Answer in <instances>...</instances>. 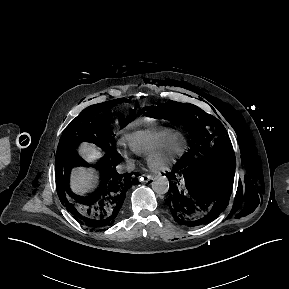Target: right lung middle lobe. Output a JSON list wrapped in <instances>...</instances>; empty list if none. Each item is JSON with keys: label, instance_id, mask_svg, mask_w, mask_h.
I'll return each mask as SVG.
<instances>
[{"label": "right lung middle lobe", "instance_id": "dd1d6c3e", "mask_svg": "<svg viewBox=\"0 0 289 289\" xmlns=\"http://www.w3.org/2000/svg\"><path fill=\"white\" fill-rule=\"evenodd\" d=\"M129 102L128 99H115L100 104L92 105L84 109L64 130L60 138L56 158L55 175L61 179L64 173L70 170V161L72 154H76V145L81 142H91L98 145L101 149L110 148L108 139L114 134L110 132V124L113 121L112 113L105 112L109 106H115L117 103ZM132 114L121 125L133 118Z\"/></svg>", "mask_w": 289, "mask_h": 289}]
</instances>
